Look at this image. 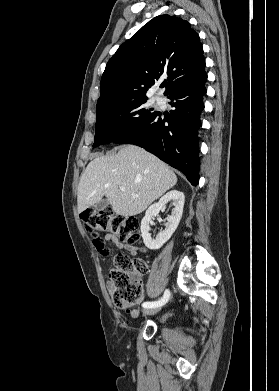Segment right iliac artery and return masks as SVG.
<instances>
[{"label": "right iliac artery", "mask_w": 279, "mask_h": 391, "mask_svg": "<svg viewBox=\"0 0 279 391\" xmlns=\"http://www.w3.org/2000/svg\"><path fill=\"white\" fill-rule=\"evenodd\" d=\"M169 297H170V292H169V290H165L164 295H163V297H162L160 300L154 301V302H144V303L142 304V306H143L144 308H155V307H160V306H162V305H164L165 303L168 302Z\"/></svg>", "instance_id": "obj_1"}]
</instances>
